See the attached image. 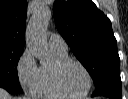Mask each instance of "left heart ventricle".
I'll return each instance as SVG.
<instances>
[{
    "label": "left heart ventricle",
    "instance_id": "obj_1",
    "mask_svg": "<svg viewBox=\"0 0 128 99\" xmlns=\"http://www.w3.org/2000/svg\"><path fill=\"white\" fill-rule=\"evenodd\" d=\"M62 83L69 93L81 94L86 90L88 80L86 74L78 65L71 64L63 72Z\"/></svg>",
    "mask_w": 128,
    "mask_h": 99
}]
</instances>
